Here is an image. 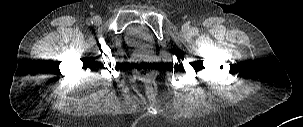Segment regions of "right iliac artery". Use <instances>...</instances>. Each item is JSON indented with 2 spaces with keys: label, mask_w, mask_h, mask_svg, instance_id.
<instances>
[{
  "label": "right iliac artery",
  "mask_w": 303,
  "mask_h": 127,
  "mask_svg": "<svg viewBox=\"0 0 303 127\" xmlns=\"http://www.w3.org/2000/svg\"><path fill=\"white\" fill-rule=\"evenodd\" d=\"M92 23H93V20H92V19H87V20H86V24H87V25H91Z\"/></svg>",
  "instance_id": "82829eb1"
}]
</instances>
